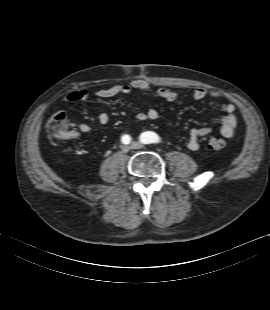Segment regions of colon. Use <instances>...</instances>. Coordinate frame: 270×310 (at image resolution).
<instances>
[{
	"mask_svg": "<svg viewBox=\"0 0 270 310\" xmlns=\"http://www.w3.org/2000/svg\"><path fill=\"white\" fill-rule=\"evenodd\" d=\"M47 130L56 139H69L75 137L73 131L68 128L67 115L64 112H56L47 122ZM207 146L210 150L218 151L226 146L223 137L212 135L209 137Z\"/></svg>",
	"mask_w": 270,
	"mask_h": 310,
	"instance_id": "1",
	"label": "colon"
}]
</instances>
